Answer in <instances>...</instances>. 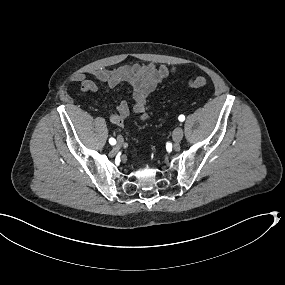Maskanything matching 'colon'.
<instances>
[{"instance_id":"obj_1","label":"colon","mask_w":285,"mask_h":285,"mask_svg":"<svg viewBox=\"0 0 285 285\" xmlns=\"http://www.w3.org/2000/svg\"><path fill=\"white\" fill-rule=\"evenodd\" d=\"M208 84V80L205 77L198 76V77H193L190 78L186 86L189 88H202L205 87Z\"/></svg>"}]
</instances>
